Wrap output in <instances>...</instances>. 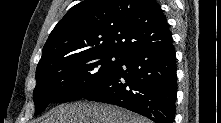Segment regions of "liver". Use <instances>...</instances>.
I'll use <instances>...</instances> for the list:
<instances>
[{
    "label": "liver",
    "instance_id": "6515ba94",
    "mask_svg": "<svg viewBox=\"0 0 221 123\" xmlns=\"http://www.w3.org/2000/svg\"><path fill=\"white\" fill-rule=\"evenodd\" d=\"M42 123H150V121L113 105L79 101L55 107Z\"/></svg>",
    "mask_w": 221,
    "mask_h": 123
}]
</instances>
